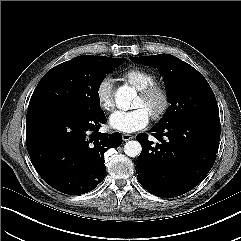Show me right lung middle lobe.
Returning a JSON list of instances; mask_svg holds the SVG:
<instances>
[{
    "label": "right lung middle lobe",
    "instance_id": "1",
    "mask_svg": "<svg viewBox=\"0 0 241 241\" xmlns=\"http://www.w3.org/2000/svg\"><path fill=\"white\" fill-rule=\"evenodd\" d=\"M125 58L82 55L49 70L38 83L28 112L57 107L85 115L101 111L98 90Z\"/></svg>",
    "mask_w": 241,
    "mask_h": 241
}]
</instances>
